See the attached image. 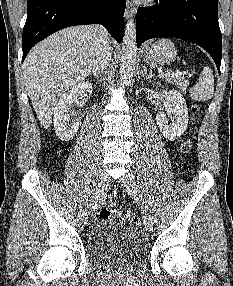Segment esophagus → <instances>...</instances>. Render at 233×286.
<instances>
[{"label":"esophagus","mask_w":233,"mask_h":286,"mask_svg":"<svg viewBox=\"0 0 233 286\" xmlns=\"http://www.w3.org/2000/svg\"><path fill=\"white\" fill-rule=\"evenodd\" d=\"M135 13H136L135 6L130 2V0H127L126 11H125L126 19L133 17Z\"/></svg>","instance_id":"1"}]
</instances>
